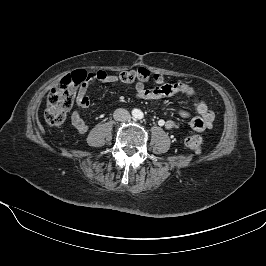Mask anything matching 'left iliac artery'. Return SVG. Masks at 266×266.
<instances>
[{
    "label": "left iliac artery",
    "instance_id": "obj_1",
    "mask_svg": "<svg viewBox=\"0 0 266 266\" xmlns=\"http://www.w3.org/2000/svg\"><path fill=\"white\" fill-rule=\"evenodd\" d=\"M140 118H142V114H140Z\"/></svg>",
    "mask_w": 266,
    "mask_h": 266
}]
</instances>
